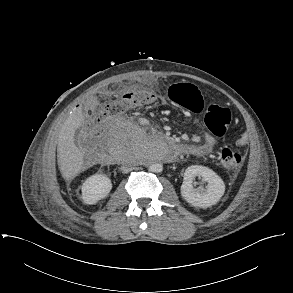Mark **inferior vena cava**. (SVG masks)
Listing matches in <instances>:
<instances>
[{
    "mask_svg": "<svg viewBox=\"0 0 293 293\" xmlns=\"http://www.w3.org/2000/svg\"><path fill=\"white\" fill-rule=\"evenodd\" d=\"M132 169H133V165H132L131 163H128V164H126V165H124V166L121 167V171H122L123 173H128V172H130Z\"/></svg>",
    "mask_w": 293,
    "mask_h": 293,
    "instance_id": "1",
    "label": "inferior vena cava"
}]
</instances>
